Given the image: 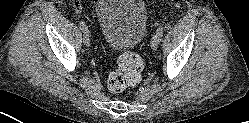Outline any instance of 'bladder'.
<instances>
[{
    "instance_id": "bladder-1",
    "label": "bladder",
    "mask_w": 249,
    "mask_h": 123,
    "mask_svg": "<svg viewBox=\"0 0 249 123\" xmlns=\"http://www.w3.org/2000/svg\"><path fill=\"white\" fill-rule=\"evenodd\" d=\"M96 17L104 41L113 48H133L145 36L147 12L143 0H98Z\"/></svg>"
}]
</instances>
